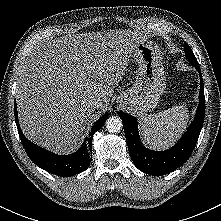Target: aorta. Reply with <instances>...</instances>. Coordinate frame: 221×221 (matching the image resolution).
Segmentation results:
<instances>
[{"label": "aorta", "instance_id": "aorta-1", "mask_svg": "<svg viewBox=\"0 0 221 221\" xmlns=\"http://www.w3.org/2000/svg\"><path fill=\"white\" fill-rule=\"evenodd\" d=\"M106 128L110 133H117L122 129V121L119 117L112 116L106 121Z\"/></svg>", "mask_w": 221, "mask_h": 221}]
</instances>
